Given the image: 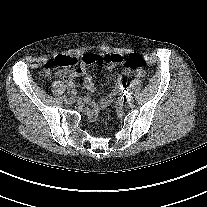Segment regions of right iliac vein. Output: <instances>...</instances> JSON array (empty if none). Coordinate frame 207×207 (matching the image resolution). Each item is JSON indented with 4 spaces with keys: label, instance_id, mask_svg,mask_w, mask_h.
Returning <instances> with one entry per match:
<instances>
[{
    "label": "right iliac vein",
    "instance_id": "obj_1",
    "mask_svg": "<svg viewBox=\"0 0 207 207\" xmlns=\"http://www.w3.org/2000/svg\"><path fill=\"white\" fill-rule=\"evenodd\" d=\"M73 103H74V98H68L66 100V104H68V105H72Z\"/></svg>",
    "mask_w": 207,
    "mask_h": 207
}]
</instances>
